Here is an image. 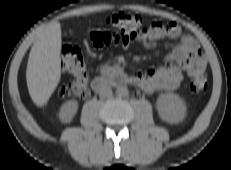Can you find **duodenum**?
I'll use <instances>...</instances> for the list:
<instances>
[{"mask_svg":"<svg viewBox=\"0 0 231 170\" xmlns=\"http://www.w3.org/2000/svg\"><path fill=\"white\" fill-rule=\"evenodd\" d=\"M134 83L135 81L132 78L125 76L119 70H114L108 76H102V75L96 76L92 80V88L98 91L106 86H119V85L134 84Z\"/></svg>","mask_w":231,"mask_h":170,"instance_id":"410a0bca","label":"duodenum"}]
</instances>
